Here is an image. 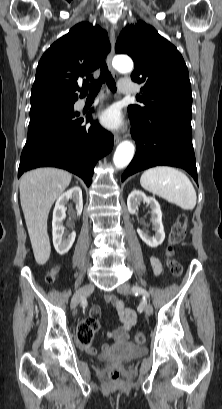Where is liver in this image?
Returning a JSON list of instances; mask_svg holds the SVG:
<instances>
[{
  "mask_svg": "<svg viewBox=\"0 0 222 409\" xmlns=\"http://www.w3.org/2000/svg\"><path fill=\"white\" fill-rule=\"evenodd\" d=\"M72 175L57 168H38L20 179V202L36 262L44 265L51 253L47 219L55 200L69 186Z\"/></svg>",
  "mask_w": 222,
  "mask_h": 409,
  "instance_id": "obj_1",
  "label": "liver"
}]
</instances>
